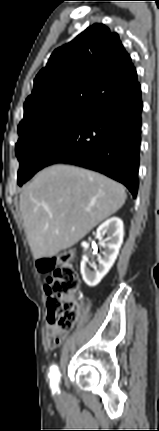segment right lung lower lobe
I'll return each instance as SVG.
<instances>
[{"label":"right lung lower lobe","mask_w":159,"mask_h":431,"mask_svg":"<svg viewBox=\"0 0 159 431\" xmlns=\"http://www.w3.org/2000/svg\"><path fill=\"white\" fill-rule=\"evenodd\" d=\"M141 86L105 103L60 139L43 159L41 169L69 163L98 171L138 191L141 143Z\"/></svg>","instance_id":"obj_1"}]
</instances>
